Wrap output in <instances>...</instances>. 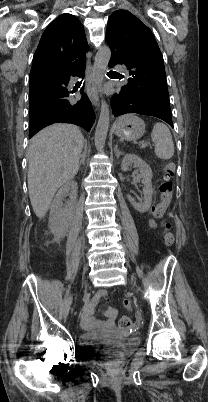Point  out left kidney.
Returning <instances> with one entry per match:
<instances>
[{
  "mask_svg": "<svg viewBox=\"0 0 208 402\" xmlns=\"http://www.w3.org/2000/svg\"><path fill=\"white\" fill-rule=\"evenodd\" d=\"M134 166V168H139V176H135L134 180H139L141 184H144L143 188V194L144 198L143 200H140V202H135L134 198H131V196H128V200L130 204H132L133 208L137 210V212H140V214H144V212H148L150 210L151 202H152V196H153V188L151 184L152 180V170L142 158H139V156H136V154H126L124 156L122 162H121V168L123 172H126L128 170L129 166Z\"/></svg>",
  "mask_w": 208,
  "mask_h": 402,
  "instance_id": "left-kidney-1",
  "label": "left kidney"
}]
</instances>
